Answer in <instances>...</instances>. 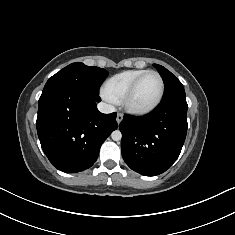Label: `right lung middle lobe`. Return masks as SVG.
I'll return each mask as SVG.
<instances>
[{"instance_id": "right-lung-middle-lobe-1", "label": "right lung middle lobe", "mask_w": 235, "mask_h": 235, "mask_svg": "<svg viewBox=\"0 0 235 235\" xmlns=\"http://www.w3.org/2000/svg\"><path fill=\"white\" fill-rule=\"evenodd\" d=\"M107 74L105 69L75 62L53 75L44 86L43 92L60 87H74L98 94L99 86Z\"/></svg>"}]
</instances>
